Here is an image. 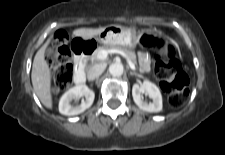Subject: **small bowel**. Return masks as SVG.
<instances>
[{
    "mask_svg": "<svg viewBox=\"0 0 225 155\" xmlns=\"http://www.w3.org/2000/svg\"><path fill=\"white\" fill-rule=\"evenodd\" d=\"M139 63H140V67L143 70H148L149 69V64H150L148 55L145 54V53H140L139 54Z\"/></svg>",
    "mask_w": 225,
    "mask_h": 155,
    "instance_id": "obj_1",
    "label": "small bowel"
}]
</instances>
